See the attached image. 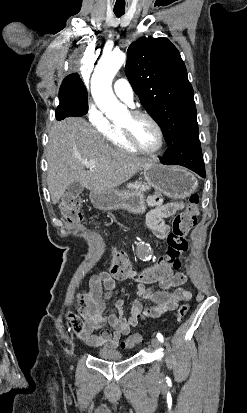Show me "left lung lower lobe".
<instances>
[{
  "label": "left lung lower lobe",
  "mask_w": 247,
  "mask_h": 413,
  "mask_svg": "<svg viewBox=\"0 0 247 413\" xmlns=\"http://www.w3.org/2000/svg\"><path fill=\"white\" fill-rule=\"evenodd\" d=\"M160 161L166 165L176 164L187 167L205 178V166L199 139L172 143Z\"/></svg>",
  "instance_id": "0a47b994"
}]
</instances>
